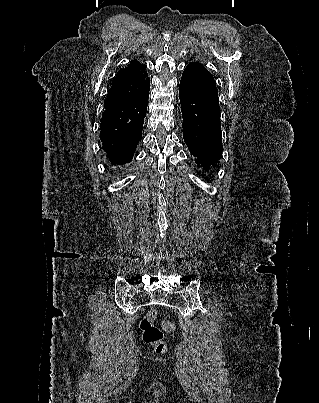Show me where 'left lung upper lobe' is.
<instances>
[{
	"label": "left lung upper lobe",
	"instance_id": "obj_1",
	"mask_svg": "<svg viewBox=\"0 0 319 403\" xmlns=\"http://www.w3.org/2000/svg\"><path fill=\"white\" fill-rule=\"evenodd\" d=\"M189 64H193V65H201V64H199V63H195V62H191V63H189ZM202 66V65H201Z\"/></svg>",
	"mask_w": 319,
	"mask_h": 403
}]
</instances>
